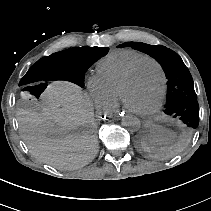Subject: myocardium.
Returning a JSON list of instances; mask_svg holds the SVG:
<instances>
[{
    "label": "myocardium",
    "instance_id": "myocardium-1",
    "mask_svg": "<svg viewBox=\"0 0 211 211\" xmlns=\"http://www.w3.org/2000/svg\"><path fill=\"white\" fill-rule=\"evenodd\" d=\"M146 62H152L157 66V68L160 72V76H161V91H160V97H159L158 102L151 109H149L147 111H138V110L131 109L126 105L125 100H124V94H125L127 85L130 82V80L132 79V77L139 70V68ZM165 87H166V73H165V70H164L162 64L153 57H145L142 61L137 63L131 70H129L123 76V78L121 79V81L118 85V88H117V98H118V101L130 113L140 116V117H150V116L154 115L161 108L163 101H164V96H165Z\"/></svg>",
    "mask_w": 211,
    "mask_h": 211
}]
</instances>
